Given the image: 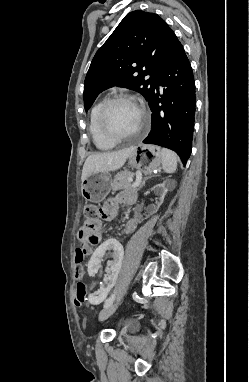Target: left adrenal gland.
I'll return each instance as SVG.
<instances>
[{"instance_id":"left-adrenal-gland-1","label":"left adrenal gland","mask_w":249,"mask_h":382,"mask_svg":"<svg viewBox=\"0 0 249 382\" xmlns=\"http://www.w3.org/2000/svg\"><path fill=\"white\" fill-rule=\"evenodd\" d=\"M150 178H151V177H146V178H144L138 189H141V188L145 185V182H146L148 179H150Z\"/></svg>"}]
</instances>
